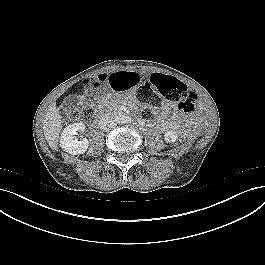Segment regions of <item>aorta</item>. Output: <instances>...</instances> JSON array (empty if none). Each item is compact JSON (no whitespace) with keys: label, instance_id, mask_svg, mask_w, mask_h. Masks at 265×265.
<instances>
[{"label":"aorta","instance_id":"762f6f07","mask_svg":"<svg viewBox=\"0 0 265 265\" xmlns=\"http://www.w3.org/2000/svg\"><path fill=\"white\" fill-rule=\"evenodd\" d=\"M115 121H116V123H119V124L123 123L125 121V117L123 115H117L115 117Z\"/></svg>","mask_w":265,"mask_h":265}]
</instances>
